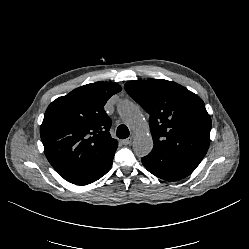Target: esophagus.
<instances>
[{
	"label": "esophagus",
	"mask_w": 249,
	"mask_h": 249,
	"mask_svg": "<svg viewBox=\"0 0 249 249\" xmlns=\"http://www.w3.org/2000/svg\"><path fill=\"white\" fill-rule=\"evenodd\" d=\"M121 143H122L123 145H129V144L132 143V138L129 137V138L125 139V140H122Z\"/></svg>",
	"instance_id": "obj_1"
}]
</instances>
